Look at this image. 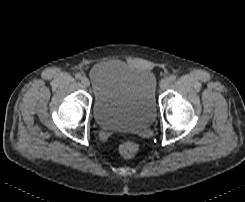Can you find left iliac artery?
Returning a JSON list of instances; mask_svg holds the SVG:
<instances>
[{"instance_id":"left-iliac-artery-1","label":"left iliac artery","mask_w":245,"mask_h":202,"mask_svg":"<svg viewBox=\"0 0 245 202\" xmlns=\"http://www.w3.org/2000/svg\"><path fill=\"white\" fill-rule=\"evenodd\" d=\"M176 80V76L175 75H170L169 76V81L170 82H174Z\"/></svg>"}]
</instances>
